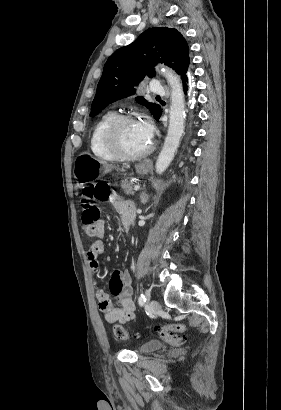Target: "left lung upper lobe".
I'll use <instances>...</instances> for the list:
<instances>
[{"label":"left lung upper lobe","instance_id":"1","mask_svg":"<svg viewBox=\"0 0 281 410\" xmlns=\"http://www.w3.org/2000/svg\"><path fill=\"white\" fill-rule=\"evenodd\" d=\"M164 63L173 68L181 78L189 72V48L183 35L167 27L151 28L143 32L133 43L116 50L104 65L90 116L94 117L110 103L135 92L145 77L155 75L154 66ZM136 101L145 105L156 117L160 106L147 102L143 97Z\"/></svg>","mask_w":281,"mask_h":410}]
</instances>
